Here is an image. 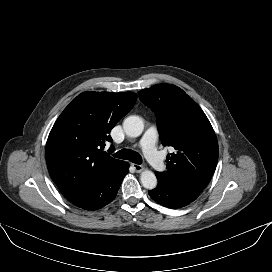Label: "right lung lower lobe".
Returning <instances> with one entry per match:
<instances>
[{
  "instance_id": "1",
  "label": "right lung lower lobe",
  "mask_w": 272,
  "mask_h": 272,
  "mask_svg": "<svg viewBox=\"0 0 272 272\" xmlns=\"http://www.w3.org/2000/svg\"><path fill=\"white\" fill-rule=\"evenodd\" d=\"M129 171V164L120 161L113 165L97 182L79 189L61 192L77 207L85 210H97L111 202L120 188L123 178Z\"/></svg>"
}]
</instances>
